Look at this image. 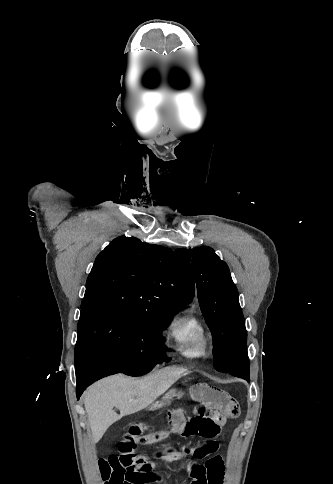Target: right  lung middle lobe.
Segmentation results:
<instances>
[{
  "instance_id": "obj_1",
  "label": "right lung middle lobe",
  "mask_w": 333,
  "mask_h": 484,
  "mask_svg": "<svg viewBox=\"0 0 333 484\" xmlns=\"http://www.w3.org/2000/svg\"><path fill=\"white\" fill-rule=\"evenodd\" d=\"M175 312L91 306L81 308L75 346V368L92 351L109 358L120 372L143 375L156 364L168 362L161 330Z\"/></svg>"
}]
</instances>
